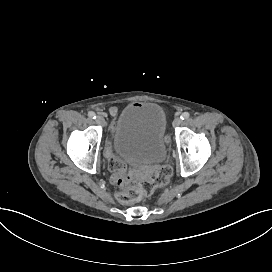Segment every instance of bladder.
<instances>
[{
  "label": "bladder",
  "mask_w": 272,
  "mask_h": 272,
  "mask_svg": "<svg viewBox=\"0 0 272 272\" xmlns=\"http://www.w3.org/2000/svg\"><path fill=\"white\" fill-rule=\"evenodd\" d=\"M167 118L158 104H129L117 117L113 149L119 158L160 165L168 158L165 144Z\"/></svg>",
  "instance_id": "1"
}]
</instances>
